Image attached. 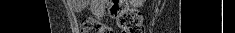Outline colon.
Here are the masks:
<instances>
[{
    "mask_svg": "<svg viewBox=\"0 0 235 33\" xmlns=\"http://www.w3.org/2000/svg\"><path fill=\"white\" fill-rule=\"evenodd\" d=\"M111 17L115 18L122 33H143L140 14L130 9L121 0H112L109 6ZM82 33H114L112 28L103 22L87 17L81 21Z\"/></svg>",
    "mask_w": 235,
    "mask_h": 33,
    "instance_id": "colon-1",
    "label": "colon"
}]
</instances>
